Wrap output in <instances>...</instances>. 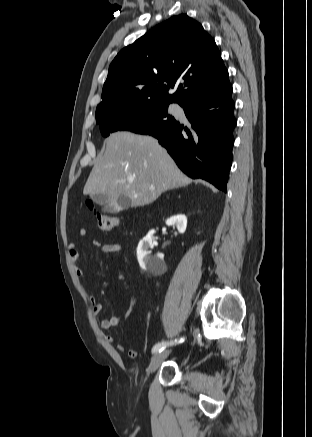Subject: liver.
I'll return each instance as SVG.
<instances>
[{
    "label": "liver",
    "mask_w": 312,
    "mask_h": 437,
    "mask_svg": "<svg viewBox=\"0 0 312 437\" xmlns=\"http://www.w3.org/2000/svg\"><path fill=\"white\" fill-rule=\"evenodd\" d=\"M105 144L104 156L94 165L84 195L106 194L113 204L123 196L136 208L192 181L152 136L115 132Z\"/></svg>",
    "instance_id": "6515ba94"
}]
</instances>
